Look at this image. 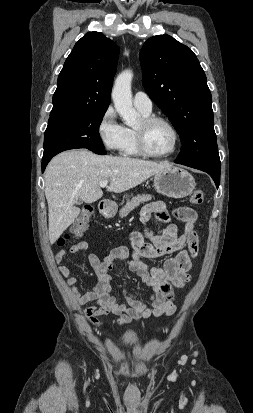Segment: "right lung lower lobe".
<instances>
[{"label": "right lung lower lobe", "mask_w": 253, "mask_h": 413, "mask_svg": "<svg viewBox=\"0 0 253 413\" xmlns=\"http://www.w3.org/2000/svg\"><path fill=\"white\" fill-rule=\"evenodd\" d=\"M89 150H91L94 153L99 154V155H105L106 154V151H105L104 148H93V149H89ZM63 151H65V150H63ZM60 152H62V151H60ZM60 152H58V153H60ZM58 153H55V154L50 155L48 157H43V159H42V172H44V170H45L48 162L51 160V158L53 156H55L56 154H58Z\"/></svg>", "instance_id": "right-lung-lower-lobe-1"}]
</instances>
